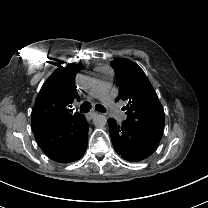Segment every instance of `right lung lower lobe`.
Segmentation results:
<instances>
[{
    "label": "right lung lower lobe",
    "instance_id": "1",
    "mask_svg": "<svg viewBox=\"0 0 208 208\" xmlns=\"http://www.w3.org/2000/svg\"><path fill=\"white\" fill-rule=\"evenodd\" d=\"M88 129L84 115L66 123L32 127L40 148L50 159L59 163L74 162L83 157Z\"/></svg>",
    "mask_w": 208,
    "mask_h": 208
}]
</instances>
